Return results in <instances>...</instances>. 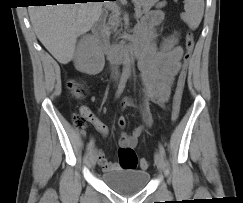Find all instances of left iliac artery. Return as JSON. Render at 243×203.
I'll use <instances>...</instances> for the list:
<instances>
[{
    "label": "left iliac artery",
    "mask_w": 243,
    "mask_h": 203,
    "mask_svg": "<svg viewBox=\"0 0 243 203\" xmlns=\"http://www.w3.org/2000/svg\"><path fill=\"white\" fill-rule=\"evenodd\" d=\"M159 151H160V153L163 155V156H165V149H164V147L161 145V144H159Z\"/></svg>",
    "instance_id": "1"
}]
</instances>
